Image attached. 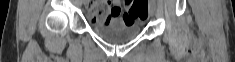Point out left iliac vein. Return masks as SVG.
Segmentation results:
<instances>
[{
  "mask_svg": "<svg viewBox=\"0 0 235 62\" xmlns=\"http://www.w3.org/2000/svg\"><path fill=\"white\" fill-rule=\"evenodd\" d=\"M155 12H156V7L154 4H151L149 7L150 16L153 17L155 15Z\"/></svg>",
  "mask_w": 235,
  "mask_h": 62,
  "instance_id": "4c4485c4",
  "label": "left iliac vein"
}]
</instances>
